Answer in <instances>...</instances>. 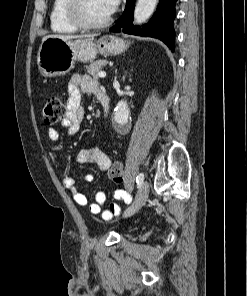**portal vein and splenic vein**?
Masks as SVG:
<instances>
[{
  "label": "portal vein and splenic vein",
  "instance_id": "portal-vein-and-splenic-vein-1",
  "mask_svg": "<svg viewBox=\"0 0 247 296\" xmlns=\"http://www.w3.org/2000/svg\"><path fill=\"white\" fill-rule=\"evenodd\" d=\"M98 76H99L100 78H105V77H106V72H105V71H100V72L98 73Z\"/></svg>",
  "mask_w": 247,
  "mask_h": 296
}]
</instances>
